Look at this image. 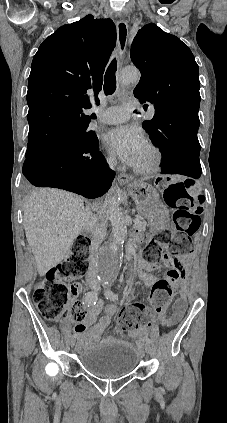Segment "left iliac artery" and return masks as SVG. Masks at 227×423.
Instances as JSON below:
<instances>
[{
    "label": "left iliac artery",
    "mask_w": 227,
    "mask_h": 423,
    "mask_svg": "<svg viewBox=\"0 0 227 423\" xmlns=\"http://www.w3.org/2000/svg\"><path fill=\"white\" fill-rule=\"evenodd\" d=\"M104 295L106 296L107 299L111 300V301H116L118 300V295L115 294L111 288H110V283L109 282H105L104 283ZM146 344H150L151 341L148 337L145 338Z\"/></svg>",
    "instance_id": "obj_1"
}]
</instances>
